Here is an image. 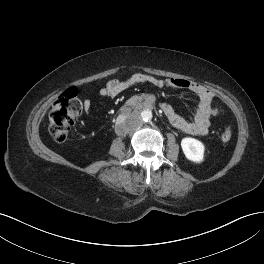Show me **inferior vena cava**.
<instances>
[{"instance_id":"obj_1","label":"inferior vena cava","mask_w":264,"mask_h":264,"mask_svg":"<svg viewBox=\"0 0 264 264\" xmlns=\"http://www.w3.org/2000/svg\"><path fill=\"white\" fill-rule=\"evenodd\" d=\"M127 119L125 116L123 115H118L116 118H115V123L117 125H124L126 123Z\"/></svg>"}]
</instances>
